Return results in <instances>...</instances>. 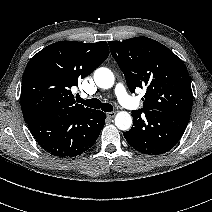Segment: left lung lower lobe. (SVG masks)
Here are the masks:
<instances>
[{"label":"left lung lower lobe","instance_id":"obj_1","mask_svg":"<svg viewBox=\"0 0 212 212\" xmlns=\"http://www.w3.org/2000/svg\"><path fill=\"white\" fill-rule=\"evenodd\" d=\"M133 127L124 132L126 141L137 151L160 155L171 150L182 137L190 115L144 110L132 112Z\"/></svg>","mask_w":212,"mask_h":212}]
</instances>
